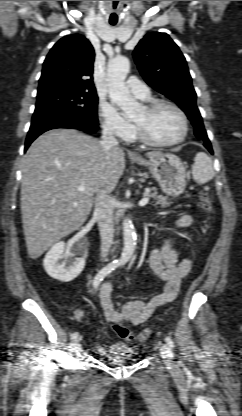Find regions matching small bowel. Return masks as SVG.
Wrapping results in <instances>:
<instances>
[{
  "instance_id": "c3829d8e",
  "label": "small bowel",
  "mask_w": 242,
  "mask_h": 416,
  "mask_svg": "<svg viewBox=\"0 0 242 416\" xmlns=\"http://www.w3.org/2000/svg\"><path fill=\"white\" fill-rule=\"evenodd\" d=\"M192 222V216L185 214L176 221L179 228L188 227ZM149 265L156 276L165 281L163 292L156 294L150 300H130L122 304L121 309L114 307L112 296L113 286L110 282H105L99 290L101 306L106 320L110 323L117 321L129 322L138 326L146 322L153 311L166 303L173 301L179 291L181 279L188 275L192 267V261L189 257L178 260L177 253L172 249L170 244H165L161 248L155 249L149 256ZM85 311L77 308L74 311L73 319L77 322H83ZM123 344L118 342L109 348L99 346L97 352L101 355L116 352Z\"/></svg>"
}]
</instances>
